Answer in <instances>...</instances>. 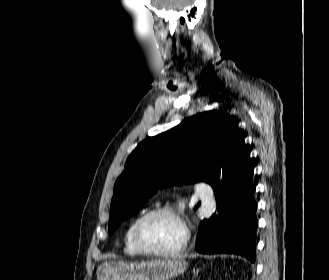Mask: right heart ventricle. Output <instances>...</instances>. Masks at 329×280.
Instances as JSON below:
<instances>
[{
  "label": "right heart ventricle",
  "mask_w": 329,
  "mask_h": 280,
  "mask_svg": "<svg viewBox=\"0 0 329 280\" xmlns=\"http://www.w3.org/2000/svg\"><path fill=\"white\" fill-rule=\"evenodd\" d=\"M141 214L136 215L127 225L124 233V252L129 256H138L141 253L135 247L132 240V229Z\"/></svg>",
  "instance_id": "e07e8e85"
}]
</instances>
